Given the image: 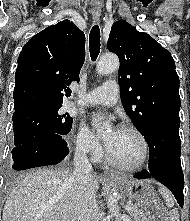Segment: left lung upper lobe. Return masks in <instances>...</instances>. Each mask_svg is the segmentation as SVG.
<instances>
[{
	"label": "left lung upper lobe",
	"mask_w": 190,
	"mask_h": 221,
	"mask_svg": "<svg viewBox=\"0 0 190 221\" xmlns=\"http://www.w3.org/2000/svg\"><path fill=\"white\" fill-rule=\"evenodd\" d=\"M107 47L119 57L122 104L140 133L162 122L180 124L179 77L170 52L124 20L112 25Z\"/></svg>",
	"instance_id": "left-lung-upper-lobe-1"
}]
</instances>
